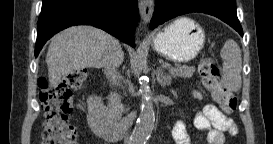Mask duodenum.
Instances as JSON below:
<instances>
[{"instance_id": "1", "label": "duodenum", "mask_w": 273, "mask_h": 144, "mask_svg": "<svg viewBox=\"0 0 273 144\" xmlns=\"http://www.w3.org/2000/svg\"><path fill=\"white\" fill-rule=\"evenodd\" d=\"M87 119L95 135L105 141L116 142L124 136V126L107 115L99 92H93L90 96Z\"/></svg>"}]
</instances>
